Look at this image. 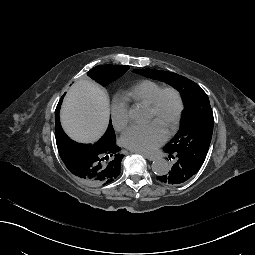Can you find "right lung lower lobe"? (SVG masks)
<instances>
[{"instance_id":"1","label":"right lung lower lobe","mask_w":255,"mask_h":255,"mask_svg":"<svg viewBox=\"0 0 255 255\" xmlns=\"http://www.w3.org/2000/svg\"><path fill=\"white\" fill-rule=\"evenodd\" d=\"M100 174V156L82 151L79 154V178L83 181Z\"/></svg>"}]
</instances>
